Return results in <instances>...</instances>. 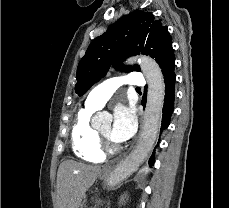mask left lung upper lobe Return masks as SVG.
<instances>
[{"instance_id":"left-lung-upper-lobe-1","label":"left lung upper lobe","mask_w":229,"mask_h":208,"mask_svg":"<svg viewBox=\"0 0 229 208\" xmlns=\"http://www.w3.org/2000/svg\"><path fill=\"white\" fill-rule=\"evenodd\" d=\"M167 26L151 12L134 11L117 20L104 34L95 38L77 67L75 91L79 96L105 76L113 64L120 71H140V67L124 66L129 56L145 54L154 58L162 72L175 60Z\"/></svg>"}]
</instances>
